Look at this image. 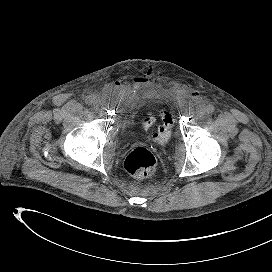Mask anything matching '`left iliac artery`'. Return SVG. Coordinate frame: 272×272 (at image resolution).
<instances>
[{"mask_svg":"<svg viewBox=\"0 0 272 272\" xmlns=\"http://www.w3.org/2000/svg\"><path fill=\"white\" fill-rule=\"evenodd\" d=\"M215 111V107L213 105L207 106V113L212 114Z\"/></svg>","mask_w":272,"mask_h":272,"instance_id":"obj_1","label":"left iliac artery"}]
</instances>
